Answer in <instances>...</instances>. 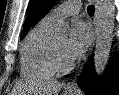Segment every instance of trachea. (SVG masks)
<instances>
[{
    "instance_id": "1",
    "label": "trachea",
    "mask_w": 119,
    "mask_h": 95,
    "mask_svg": "<svg viewBox=\"0 0 119 95\" xmlns=\"http://www.w3.org/2000/svg\"><path fill=\"white\" fill-rule=\"evenodd\" d=\"M94 9H95L94 5H89L87 7L88 14L93 15L94 14Z\"/></svg>"
}]
</instances>
